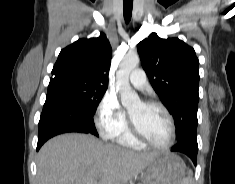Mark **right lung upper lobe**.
Masks as SVG:
<instances>
[{
    "label": "right lung upper lobe",
    "mask_w": 235,
    "mask_h": 184,
    "mask_svg": "<svg viewBox=\"0 0 235 184\" xmlns=\"http://www.w3.org/2000/svg\"><path fill=\"white\" fill-rule=\"evenodd\" d=\"M112 48L104 33L82 38L62 49L52 70L48 92L67 82L108 86Z\"/></svg>",
    "instance_id": "obj_1"
}]
</instances>
